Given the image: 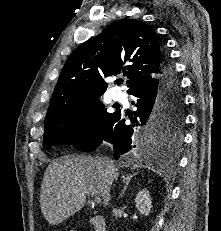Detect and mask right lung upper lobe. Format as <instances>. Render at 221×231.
Segmentation results:
<instances>
[{"label":"right lung upper lobe","instance_id":"obj_1","mask_svg":"<svg viewBox=\"0 0 221 231\" xmlns=\"http://www.w3.org/2000/svg\"><path fill=\"white\" fill-rule=\"evenodd\" d=\"M163 47L151 27L134 19L112 23L81 44L67 59L53 92L46 118L68 101L101 96L105 77L123 72L128 93L157 81Z\"/></svg>","mask_w":221,"mask_h":231}]
</instances>
